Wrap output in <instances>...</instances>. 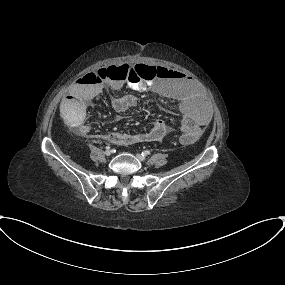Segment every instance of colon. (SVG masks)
<instances>
[{"instance_id":"colon-1","label":"colon","mask_w":285,"mask_h":285,"mask_svg":"<svg viewBox=\"0 0 285 285\" xmlns=\"http://www.w3.org/2000/svg\"><path fill=\"white\" fill-rule=\"evenodd\" d=\"M123 70L127 71L129 70L130 73L134 76V81H153L157 77H160L163 75V70L158 67L154 66H149V65H141L137 64L134 66H128L125 65L123 66ZM118 69L114 68L113 66L100 69L95 72H90V73H82L79 76V81L83 83H98L104 80L105 78H114L117 76ZM199 138V134L197 131H193L190 133L183 134L180 137V141L182 144L188 145V144H193L196 142Z\"/></svg>"}]
</instances>
